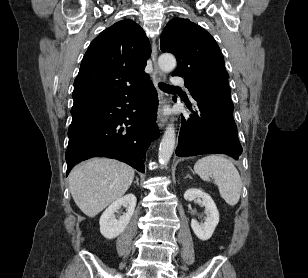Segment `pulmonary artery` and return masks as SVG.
Masks as SVG:
<instances>
[{"mask_svg":"<svg viewBox=\"0 0 308 278\" xmlns=\"http://www.w3.org/2000/svg\"><path fill=\"white\" fill-rule=\"evenodd\" d=\"M171 83L175 86H183L184 80L181 77L175 76L171 79Z\"/></svg>","mask_w":308,"mask_h":278,"instance_id":"pulmonary-artery-1","label":"pulmonary artery"}]
</instances>
